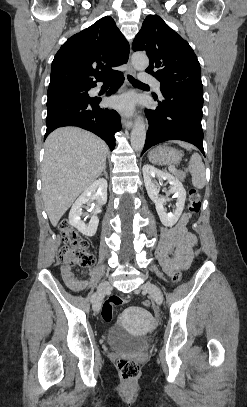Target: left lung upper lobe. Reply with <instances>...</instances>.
Masks as SVG:
<instances>
[{"instance_id":"5c2ea615","label":"left lung upper lobe","mask_w":247,"mask_h":407,"mask_svg":"<svg viewBox=\"0 0 247 407\" xmlns=\"http://www.w3.org/2000/svg\"><path fill=\"white\" fill-rule=\"evenodd\" d=\"M133 50L146 51L150 59L146 72L161 83L162 93L168 89L203 93L201 68L194 51L159 16L146 17L134 39Z\"/></svg>"}]
</instances>
